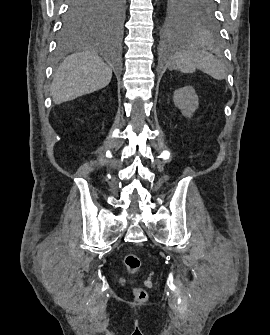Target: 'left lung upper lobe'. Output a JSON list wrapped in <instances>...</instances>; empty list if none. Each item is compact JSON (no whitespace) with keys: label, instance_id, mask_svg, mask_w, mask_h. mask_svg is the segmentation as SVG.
Returning <instances> with one entry per match:
<instances>
[{"label":"left lung upper lobe","instance_id":"5c2ea615","mask_svg":"<svg viewBox=\"0 0 270 335\" xmlns=\"http://www.w3.org/2000/svg\"><path fill=\"white\" fill-rule=\"evenodd\" d=\"M161 13L170 30L214 34L219 28L213 0H162Z\"/></svg>","mask_w":270,"mask_h":335}]
</instances>
